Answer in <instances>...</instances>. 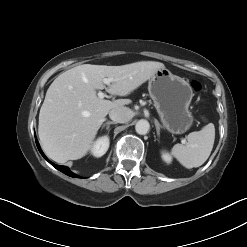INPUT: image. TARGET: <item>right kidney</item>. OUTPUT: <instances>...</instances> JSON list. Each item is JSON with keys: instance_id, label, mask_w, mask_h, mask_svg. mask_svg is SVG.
<instances>
[{"instance_id": "1", "label": "right kidney", "mask_w": 247, "mask_h": 247, "mask_svg": "<svg viewBox=\"0 0 247 247\" xmlns=\"http://www.w3.org/2000/svg\"><path fill=\"white\" fill-rule=\"evenodd\" d=\"M109 143L110 142H109L108 136H103V137L98 138L94 142V144L91 148L92 155L95 157L103 156L109 148Z\"/></svg>"}]
</instances>
